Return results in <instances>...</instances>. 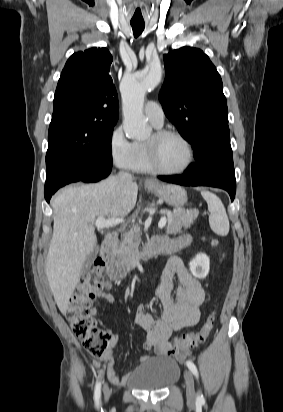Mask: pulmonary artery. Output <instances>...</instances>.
<instances>
[{"mask_svg": "<svg viewBox=\"0 0 283 412\" xmlns=\"http://www.w3.org/2000/svg\"><path fill=\"white\" fill-rule=\"evenodd\" d=\"M145 116L155 126L161 127L164 123V112L157 101H149L144 108Z\"/></svg>", "mask_w": 283, "mask_h": 412, "instance_id": "1", "label": "pulmonary artery"}]
</instances>
